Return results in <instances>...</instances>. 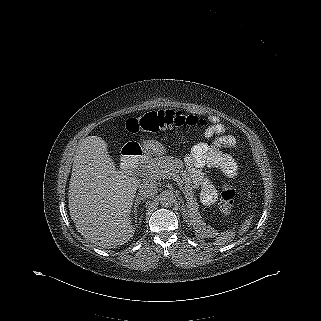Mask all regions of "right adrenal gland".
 <instances>
[{
    "label": "right adrenal gland",
    "mask_w": 321,
    "mask_h": 321,
    "mask_svg": "<svg viewBox=\"0 0 321 321\" xmlns=\"http://www.w3.org/2000/svg\"><path fill=\"white\" fill-rule=\"evenodd\" d=\"M144 200H145V198L144 197H142V196H137L136 197V199H135V203H134V214H135V223H137V207L139 206V204L141 203V201H143L144 202ZM139 221H138V223H139V225H141V223H142V216H141V218H139L138 219Z\"/></svg>",
    "instance_id": "obj_1"
}]
</instances>
